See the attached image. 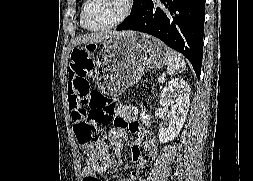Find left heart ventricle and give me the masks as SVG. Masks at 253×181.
Here are the masks:
<instances>
[{
	"label": "left heart ventricle",
	"instance_id": "1",
	"mask_svg": "<svg viewBox=\"0 0 253 181\" xmlns=\"http://www.w3.org/2000/svg\"><path fill=\"white\" fill-rule=\"evenodd\" d=\"M125 0H92L85 13V22L91 28H100L115 21L125 8Z\"/></svg>",
	"mask_w": 253,
	"mask_h": 181
}]
</instances>
